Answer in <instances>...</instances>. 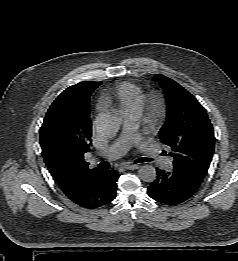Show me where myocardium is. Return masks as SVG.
Returning a JSON list of instances; mask_svg holds the SVG:
<instances>
[{"mask_svg": "<svg viewBox=\"0 0 238 261\" xmlns=\"http://www.w3.org/2000/svg\"><path fill=\"white\" fill-rule=\"evenodd\" d=\"M167 102L164 94L159 90H153L144 95L141 110L142 121L146 128L154 129L165 118Z\"/></svg>", "mask_w": 238, "mask_h": 261, "instance_id": "myocardium-1", "label": "myocardium"}]
</instances>
